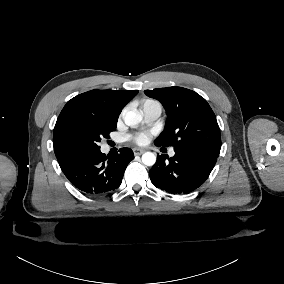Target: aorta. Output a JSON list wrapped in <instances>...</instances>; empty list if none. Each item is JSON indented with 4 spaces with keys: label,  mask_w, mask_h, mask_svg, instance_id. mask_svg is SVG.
I'll list each match as a JSON object with an SVG mask.
<instances>
[{
    "label": "aorta",
    "mask_w": 284,
    "mask_h": 284,
    "mask_svg": "<svg viewBox=\"0 0 284 284\" xmlns=\"http://www.w3.org/2000/svg\"><path fill=\"white\" fill-rule=\"evenodd\" d=\"M123 119L126 125L135 126L142 121V116L136 110H125L123 112ZM156 162V156L152 152H145L142 155V163L146 166H153Z\"/></svg>",
    "instance_id": "1"
}]
</instances>
